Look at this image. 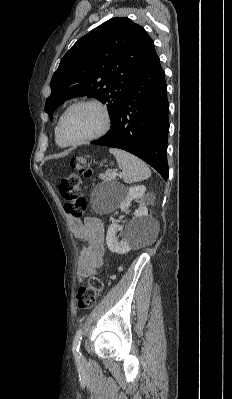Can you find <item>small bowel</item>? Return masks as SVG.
<instances>
[{"label":"small bowel","instance_id":"1","mask_svg":"<svg viewBox=\"0 0 232 399\" xmlns=\"http://www.w3.org/2000/svg\"><path fill=\"white\" fill-rule=\"evenodd\" d=\"M74 231L78 239L87 243L78 255L77 276L82 284L91 276L92 269L101 265L103 224L97 219H87Z\"/></svg>","mask_w":232,"mask_h":399}]
</instances>
